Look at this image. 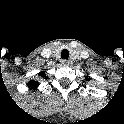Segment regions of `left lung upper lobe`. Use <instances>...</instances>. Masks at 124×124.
Wrapping results in <instances>:
<instances>
[{
  "label": "left lung upper lobe",
  "instance_id": "1",
  "mask_svg": "<svg viewBox=\"0 0 124 124\" xmlns=\"http://www.w3.org/2000/svg\"><path fill=\"white\" fill-rule=\"evenodd\" d=\"M86 80H91V78L86 76Z\"/></svg>",
  "mask_w": 124,
  "mask_h": 124
}]
</instances>
